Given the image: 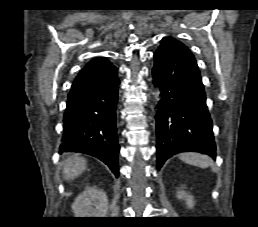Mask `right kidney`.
<instances>
[{
  "label": "right kidney",
  "mask_w": 258,
  "mask_h": 227,
  "mask_svg": "<svg viewBox=\"0 0 258 227\" xmlns=\"http://www.w3.org/2000/svg\"><path fill=\"white\" fill-rule=\"evenodd\" d=\"M72 209L75 217H105L108 199L103 190L88 187L76 197Z\"/></svg>",
  "instance_id": "right-kidney-1"
}]
</instances>
